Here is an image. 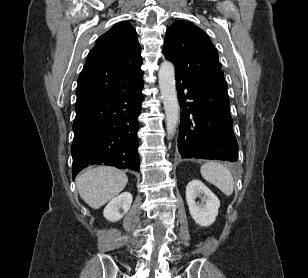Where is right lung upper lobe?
I'll list each match as a JSON object with an SVG mask.
<instances>
[{"label": "right lung upper lobe", "instance_id": "1", "mask_svg": "<svg viewBox=\"0 0 308 278\" xmlns=\"http://www.w3.org/2000/svg\"><path fill=\"white\" fill-rule=\"evenodd\" d=\"M136 31L121 22L103 34L91 49L78 78L76 103L124 92L143 77Z\"/></svg>", "mask_w": 308, "mask_h": 278}]
</instances>
